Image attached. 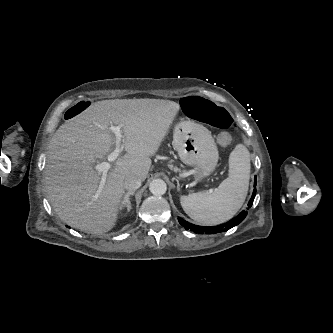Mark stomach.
Wrapping results in <instances>:
<instances>
[{
	"label": "stomach",
	"mask_w": 333,
	"mask_h": 333,
	"mask_svg": "<svg viewBox=\"0 0 333 333\" xmlns=\"http://www.w3.org/2000/svg\"><path fill=\"white\" fill-rule=\"evenodd\" d=\"M212 139L211 131L190 119L175 126L173 145L184 163L195 166L198 181L211 175L217 166L219 153Z\"/></svg>",
	"instance_id": "0dacf381"
}]
</instances>
